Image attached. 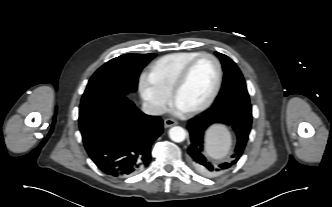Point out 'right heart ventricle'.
Segmentation results:
<instances>
[{
	"label": "right heart ventricle",
	"mask_w": 332,
	"mask_h": 207,
	"mask_svg": "<svg viewBox=\"0 0 332 207\" xmlns=\"http://www.w3.org/2000/svg\"><path fill=\"white\" fill-rule=\"evenodd\" d=\"M198 54L200 52L189 51L162 56L150 65L146 77L157 88L170 94L181 69Z\"/></svg>",
	"instance_id": "e07e8e85"
}]
</instances>
